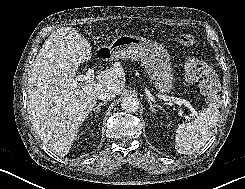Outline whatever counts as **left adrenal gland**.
Masks as SVG:
<instances>
[{
	"instance_id": "a2214340",
	"label": "left adrenal gland",
	"mask_w": 245,
	"mask_h": 189,
	"mask_svg": "<svg viewBox=\"0 0 245 189\" xmlns=\"http://www.w3.org/2000/svg\"><path fill=\"white\" fill-rule=\"evenodd\" d=\"M148 103H149V110L151 112H156V108H159L160 110H162V106H160L159 104H155V103H152V101L149 99V98H146Z\"/></svg>"
}]
</instances>
